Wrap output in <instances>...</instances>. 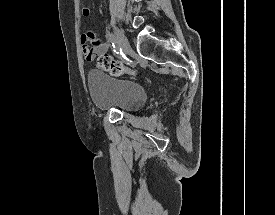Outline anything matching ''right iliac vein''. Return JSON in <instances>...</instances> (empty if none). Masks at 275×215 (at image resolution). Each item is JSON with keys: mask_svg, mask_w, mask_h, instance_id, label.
<instances>
[{"mask_svg": "<svg viewBox=\"0 0 275 215\" xmlns=\"http://www.w3.org/2000/svg\"><path fill=\"white\" fill-rule=\"evenodd\" d=\"M114 33L116 35L117 43L121 47L122 51L126 54H129L132 49L125 34L116 27H114Z\"/></svg>", "mask_w": 275, "mask_h": 215, "instance_id": "right-iliac-vein-1", "label": "right iliac vein"}]
</instances>
